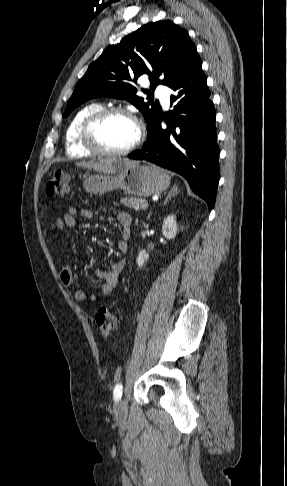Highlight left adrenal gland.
<instances>
[{
    "label": "left adrenal gland",
    "instance_id": "obj_1",
    "mask_svg": "<svg viewBox=\"0 0 287 486\" xmlns=\"http://www.w3.org/2000/svg\"><path fill=\"white\" fill-rule=\"evenodd\" d=\"M178 192L179 191H178L177 185H174L173 188L168 193L167 197L165 198L163 205H166L168 200L171 199L172 197H174L175 195H177Z\"/></svg>",
    "mask_w": 287,
    "mask_h": 486
}]
</instances>
